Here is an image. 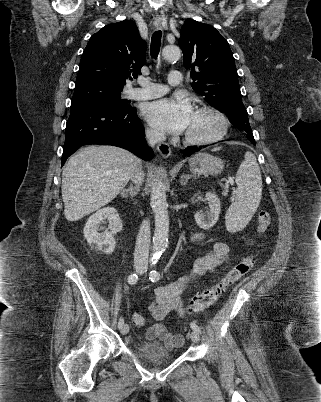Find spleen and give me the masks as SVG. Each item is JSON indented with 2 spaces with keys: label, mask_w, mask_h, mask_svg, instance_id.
I'll return each instance as SVG.
<instances>
[{
  "label": "spleen",
  "mask_w": 321,
  "mask_h": 402,
  "mask_svg": "<svg viewBox=\"0 0 321 402\" xmlns=\"http://www.w3.org/2000/svg\"><path fill=\"white\" fill-rule=\"evenodd\" d=\"M220 148H215L217 151ZM235 182L236 196L231 198L232 204L225 215L227 231L234 233L242 230L256 212L262 197V178L256 157L246 152L240 164Z\"/></svg>",
  "instance_id": "obj_1"
}]
</instances>
